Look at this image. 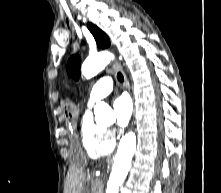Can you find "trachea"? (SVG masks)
Segmentation results:
<instances>
[{"instance_id":"trachea-1","label":"trachea","mask_w":221,"mask_h":193,"mask_svg":"<svg viewBox=\"0 0 221 193\" xmlns=\"http://www.w3.org/2000/svg\"><path fill=\"white\" fill-rule=\"evenodd\" d=\"M117 78H118V80H119L120 82H123V81H124V77H123V75H122L120 72L117 74Z\"/></svg>"}]
</instances>
